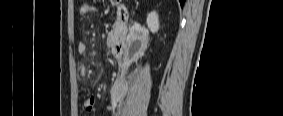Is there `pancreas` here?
I'll list each match as a JSON object with an SVG mask.
<instances>
[{"instance_id": "cf45deb5", "label": "pancreas", "mask_w": 283, "mask_h": 116, "mask_svg": "<svg viewBox=\"0 0 283 116\" xmlns=\"http://www.w3.org/2000/svg\"><path fill=\"white\" fill-rule=\"evenodd\" d=\"M126 32V29H120L117 25H114L112 30L108 33L107 46L109 48L113 47L117 38L121 35H125Z\"/></svg>"}]
</instances>
